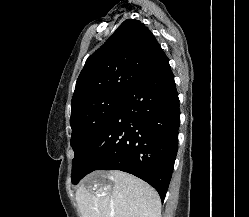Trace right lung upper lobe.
I'll return each mask as SVG.
<instances>
[{"instance_id": "right-lung-upper-lobe-1", "label": "right lung upper lobe", "mask_w": 249, "mask_h": 217, "mask_svg": "<svg viewBox=\"0 0 249 217\" xmlns=\"http://www.w3.org/2000/svg\"><path fill=\"white\" fill-rule=\"evenodd\" d=\"M163 56L161 46L143 23L125 20L86 60L71 109L102 95H126Z\"/></svg>"}]
</instances>
